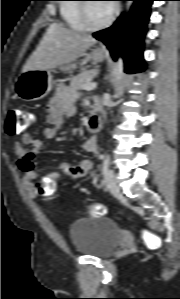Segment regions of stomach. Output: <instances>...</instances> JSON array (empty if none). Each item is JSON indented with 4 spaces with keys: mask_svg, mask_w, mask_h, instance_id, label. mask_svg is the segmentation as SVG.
I'll return each instance as SVG.
<instances>
[{
    "mask_svg": "<svg viewBox=\"0 0 180 299\" xmlns=\"http://www.w3.org/2000/svg\"><path fill=\"white\" fill-rule=\"evenodd\" d=\"M85 60L82 63L92 60L95 63L105 59V54L99 49L83 54ZM77 68L76 63L61 66L64 72L72 73ZM52 74L50 70L30 69L22 71L15 82L17 96L24 101H36L44 98L52 88Z\"/></svg>",
    "mask_w": 180,
    "mask_h": 299,
    "instance_id": "1",
    "label": "stomach"
}]
</instances>
